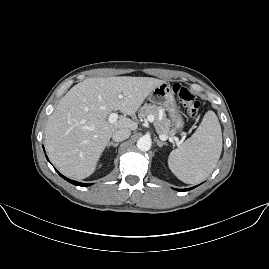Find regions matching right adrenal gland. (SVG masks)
Segmentation results:
<instances>
[{"instance_id": "right-adrenal-gland-1", "label": "right adrenal gland", "mask_w": 269, "mask_h": 269, "mask_svg": "<svg viewBox=\"0 0 269 269\" xmlns=\"http://www.w3.org/2000/svg\"><path fill=\"white\" fill-rule=\"evenodd\" d=\"M118 145H119V143L117 142V143H113V142H111V143H109L108 144V147H107V149H108V151L110 150V148H111V146H113V147H115V148H117L118 147Z\"/></svg>"}]
</instances>
